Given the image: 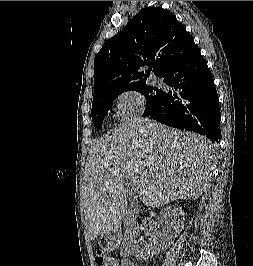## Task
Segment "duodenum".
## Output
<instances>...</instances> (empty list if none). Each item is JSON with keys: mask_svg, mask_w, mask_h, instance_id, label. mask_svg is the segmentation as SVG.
Returning <instances> with one entry per match:
<instances>
[{"mask_svg": "<svg viewBox=\"0 0 253 266\" xmlns=\"http://www.w3.org/2000/svg\"><path fill=\"white\" fill-rule=\"evenodd\" d=\"M104 240L106 243H111L113 242L114 239H116V233L111 232V233H107L103 236ZM127 261H132V260H127Z\"/></svg>", "mask_w": 253, "mask_h": 266, "instance_id": "obj_1", "label": "duodenum"}]
</instances>
